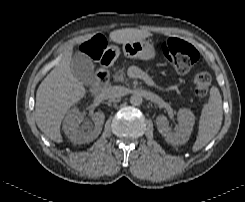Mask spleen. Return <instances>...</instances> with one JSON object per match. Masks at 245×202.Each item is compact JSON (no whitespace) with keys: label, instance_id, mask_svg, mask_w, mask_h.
I'll return each mask as SVG.
<instances>
[{"label":"spleen","instance_id":"obj_1","mask_svg":"<svg viewBox=\"0 0 245 202\" xmlns=\"http://www.w3.org/2000/svg\"><path fill=\"white\" fill-rule=\"evenodd\" d=\"M223 119L222 97L217 87L210 89V97L204 105L200 120L197 139L193 145L196 152L207 145L210 140L218 133Z\"/></svg>","mask_w":245,"mask_h":202}]
</instances>
